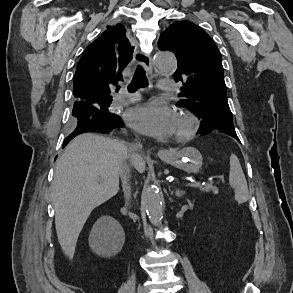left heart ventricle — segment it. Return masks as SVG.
<instances>
[{
    "instance_id": "1",
    "label": "left heart ventricle",
    "mask_w": 293,
    "mask_h": 293,
    "mask_svg": "<svg viewBox=\"0 0 293 293\" xmlns=\"http://www.w3.org/2000/svg\"><path fill=\"white\" fill-rule=\"evenodd\" d=\"M183 127H184V125L183 124H180V123H178L177 121H176V123H175V132L177 131V130H181V129H183Z\"/></svg>"
}]
</instances>
